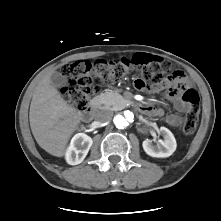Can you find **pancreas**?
Listing matches in <instances>:
<instances>
[{
  "label": "pancreas",
  "mask_w": 221,
  "mask_h": 221,
  "mask_svg": "<svg viewBox=\"0 0 221 221\" xmlns=\"http://www.w3.org/2000/svg\"><path fill=\"white\" fill-rule=\"evenodd\" d=\"M100 107L118 110L123 107L125 98L120 95L117 91H106L99 95Z\"/></svg>",
  "instance_id": "obj_1"
}]
</instances>
